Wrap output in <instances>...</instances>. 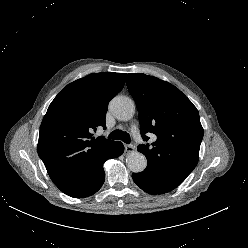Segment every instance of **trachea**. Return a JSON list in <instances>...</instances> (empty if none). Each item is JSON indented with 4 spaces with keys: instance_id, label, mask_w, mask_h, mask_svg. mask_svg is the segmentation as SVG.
<instances>
[{
    "instance_id": "trachea-1",
    "label": "trachea",
    "mask_w": 248,
    "mask_h": 248,
    "mask_svg": "<svg viewBox=\"0 0 248 248\" xmlns=\"http://www.w3.org/2000/svg\"><path fill=\"white\" fill-rule=\"evenodd\" d=\"M108 138L114 140H122L126 144L130 143V135L127 132H123L121 130L112 131L109 134Z\"/></svg>"
}]
</instances>
